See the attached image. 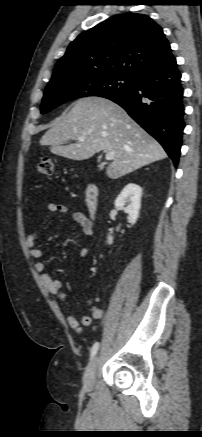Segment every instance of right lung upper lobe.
<instances>
[{"label":"right lung upper lobe","instance_id":"cb5924a9","mask_svg":"<svg viewBox=\"0 0 202 437\" xmlns=\"http://www.w3.org/2000/svg\"><path fill=\"white\" fill-rule=\"evenodd\" d=\"M174 56L162 28L149 16L124 13L81 33L55 66L52 80L120 73L136 78Z\"/></svg>","mask_w":202,"mask_h":437}]
</instances>
